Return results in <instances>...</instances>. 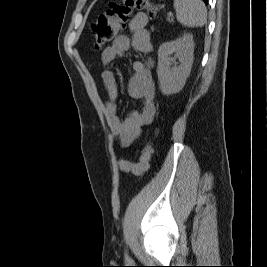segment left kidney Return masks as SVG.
<instances>
[{
    "mask_svg": "<svg viewBox=\"0 0 267 267\" xmlns=\"http://www.w3.org/2000/svg\"><path fill=\"white\" fill-rule=\"evenodd\" d=\"M193 52L194 41L191 34H185L174 41L160 45L157 75L160 90L164 95L175 94L182 90L191 72ZM172 54L174 57H171ZM176 59L180 63L178 66Z\"/></svg>",
    "mask_w": 267,
    "mask_h": 267,
    "instance_id": "left-kidney-1",
    "label": "left kidney"
}]
</instances>
